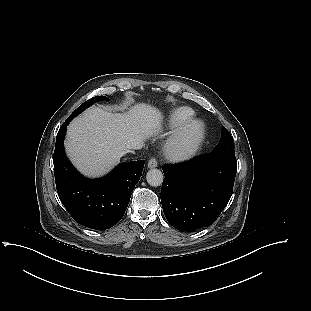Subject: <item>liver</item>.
Listing matches in <instances>:
<instances>
[{
	"label": "liver",
	"mask_w": 311,
	"mask_h": 311,
	"mask_svg": "<svg viewBox=\"0 0 311 311\" xmlns=\"http://www.w3.org/2000/svg\"><path fill=\"white\" fill-rule=\"evenodd\" d=\"M163 114L140 103L128 113H111L99 107L87 109L68 126L66 153L84 175L108 173L120 158L140 149L144 142L162 132Z\"/></svg>",
	"instance_id": "obj_1"
}]
</instances>
